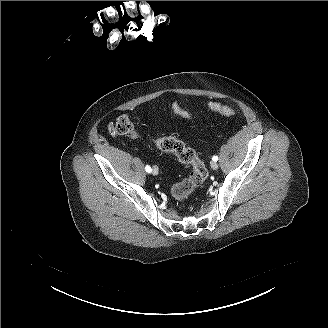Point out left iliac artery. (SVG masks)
I'll list each match as a JSON object with an SVG mask.
<instances>
[{"label":"left iliac artery","mask_w":328,"mask_h":328,"mask_svg":"<svg viewBox=\"0 0 328 328\" xmlns=\"http://www.w3.org/2000/svg\"><path fill=\"white\" fill-rule=\"evenodd\" d=\"M212 160L213 161H217L218 160V157L217 156H213Z\"/></svg>","instance_id":"44dca946"}]
</instances>
